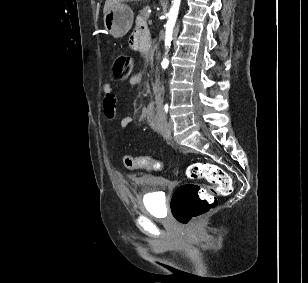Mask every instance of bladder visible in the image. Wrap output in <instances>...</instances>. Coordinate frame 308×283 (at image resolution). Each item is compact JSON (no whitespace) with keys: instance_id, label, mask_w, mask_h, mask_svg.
<instances>
[{"instance_id":"31cf9c89","label":"bladder","mask_w":308,"mask_h":283,"mask_svg":"<svg viewBox=\"0 0 308 283\" xmlns=\"http://www.w3.org/2000/svg\"><path fill=\"white\" fill-rule=\"evenodd\" d=\"M142 212L155 218L165 216V202L159 190L146 191L141 198Z\"/></svg>"}]
</instances>
